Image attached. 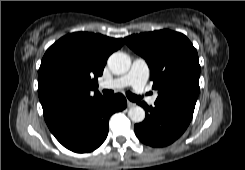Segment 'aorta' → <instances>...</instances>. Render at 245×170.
<instances>
[{
  "instance_id": "1",
  "label": "aorta",
  "mask_w": 245,
  "mask_h": 170,
  "mask_svg": "<svg viewBox=\"0 0 245 170\" xmlns=\"http://www.w3.org/2000/svg\"><path fill=\"white\" fill-rule=\"evenodd\" d=\"M130 66L131 59L123 52H115L108 59L109 69L117 75L128 72ZM128 116L133 122L140 123L145 119V111L140 106H134L129 109Z\"/></svg>"
}]
</instances>
